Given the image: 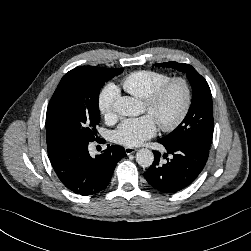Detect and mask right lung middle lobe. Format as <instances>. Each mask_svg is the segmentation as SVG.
Returning <instances> with one entry per match:
<instances>
[{
  "instance_id": "right-lung-middle-lobe-1",
  "label": "right lung middle lobe",
  "mask_w": 251,
  "mask_h": 251,
  "mask_svg": "<svg viewBox=\"0 0 251 251\" xmlns=\"http://www.w3.org/2000/svg\"><path fill=\"white\" fill-rule=\"evenodd\" d=\"M121 68L82 66L67 72L57 86L46 114L52 135L65 141L93 142L100 122L99 92Z\"/></svg>"
}]
</instances>
